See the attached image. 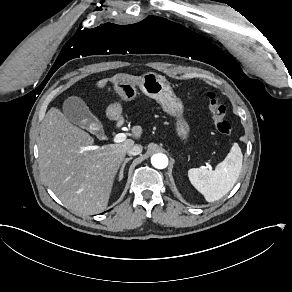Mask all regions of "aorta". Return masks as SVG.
<instances>
[{
    "instance_id": "obj_1",
    "label": "aorta",
    "mask_w": 292,
    "mask_h": 292,
    "mask_svg": "<svg viewBox=\"0 0 292 292\" xmlns=\"http://www.w3.org/2000/svg\"><path fill=\"white\" fill-rule=\"evenodd\" d=\"M168 158L164 154H155L151 158L152 165L157 169H165L168 166Z\"/></svg>"
}]
</instances>
